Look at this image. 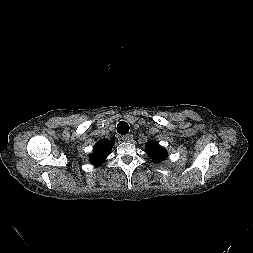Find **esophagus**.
Returning a JSON list of instances; mask_svg holds the SVG:
<instances>
[{"instance_id":"1","label":"esophagus","mask_w":253,"mask_h":253,"mask_svg":"<svg viewBox=\"0 0 253 253\" xmlns=\"http://www.w3.org/2000/svg\"><path fill=\"white\" fill-rule=\"evenodd\" d=\"M132 139H133V136L130 134L122 136V140L125 142H130V141H132Z\"/></svg>"}]
</instances>
